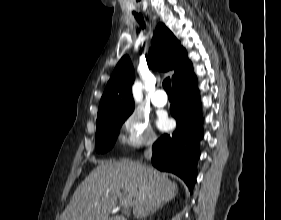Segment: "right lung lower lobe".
<instances>
[{"mask_svg":"<svg viewBox=\"0 0 281 220\" xmlns=\"http://www.w3.org/2000/svg\"><path fill=\"white\" fill-rule=\"evenodd\" d=\"M196 79L173 87L174 101L170 112L177 121L172 135L164 134L153 145L152 164L161 171L181 177L192 192L203 137L201 104Z\"/></svg>","mask_w":281,"mask_h":220,"instance_id":"1","label":"right lung lower lobe"}]
</instances>
